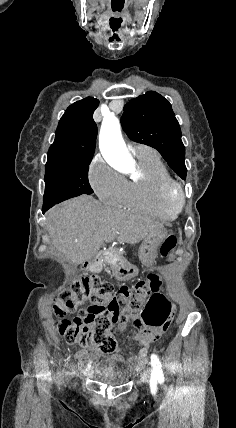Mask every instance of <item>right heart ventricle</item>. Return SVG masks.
<instances>
[{"mask_svg": "<svg viewBox=\"0 0 236 428\" xmlns=\"http://www.w3.org/2000/svg\"><path fill=\"white\" fill-rule=\"evenodd\" d=\"M128 157L138 172L125 180L126 189L122 205L138 209L162 221L174 220L177 212L165 207L158 194L160 183L166 179H173L158 154L149 147L138 146Z\"/></svg>", "mask_w": 236, "mask_h": 428, "instance_id": "obj_1", "label": "right heart ventricle"}]
</instances>
